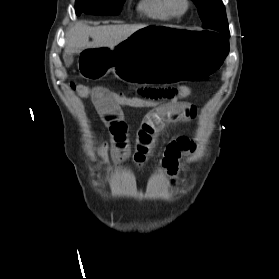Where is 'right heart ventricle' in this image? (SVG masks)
Listing matches in <instances>:
<instances>
[{"label":"right heart ventricle","instance_id":"1","mask_svg":"<svg viewBox=\"0 0 279 279\" xmlns=\"http://www.w3.org/2000/svg\"><path fill=\"white\" fill-rule=\"evenodd\" d=\"M170 5V0H140L138 8L152 19L169 21L176 16Z\"/></svg>","mask_w":279,"mask_h":279}]
</instances>
